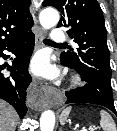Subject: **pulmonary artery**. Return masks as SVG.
Segmentation results:
<instances>
[{"instance_id":"pulmonary-artery-1","label":"pulmonary artery","mask_w":117,"mask_h":131,"mask_svg":"<svg viewBox=\"0 0 117 131\" xmlns=\"http://www.w3.org/2000/svg\"><path fill=\"white\" fill-rule=\"evenodd\" d=\"M51 40L55 43H62L66 40L65 33L61 29L55 28L52 31Z\"/></svg>"}]
</instances>
